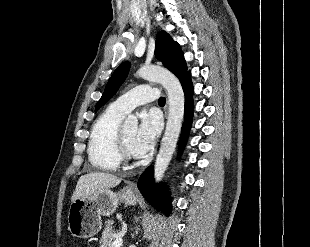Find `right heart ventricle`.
Masks as SVG:
<instances>
[{"label":"right heart ventricle","instance_id":"obj_1","mask_svg":"<svg viewBox=\"0 0 310 247\" xmlns=\"http://www.w3.org/2000/svg\"><path fill=\"white\" fill-rule=\"evenodd\" d=\"M124 113L112 106L97 118L88 142V158L98 170L113 171L120 164L118 133Z\"/></svg>","mask_w":310,"mask_h":247}]
</instances>
